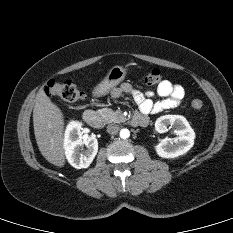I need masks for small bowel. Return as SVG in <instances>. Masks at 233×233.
I'll return each instance as SVG.
<instances>
[{
  "instance_id": "obj_1",
  "label": "small bowel",
  "mask_w": 233,
  "mask_h": 233,
  "mask_svg": "<svg viewBox=\"0 0 233 233\" xmlns=\"http://www.w3.org/2000/svg\"><path fill=\"white\" fill-rule=\"evenodd\" d=\"M122 93L131 94L138 105L139 113L133 118V123L138 125L135 120L142 118L149 120L150 114H156L163 110L173 109L181 104L184 99V88L179 84H173L168 80L162 81L156 89V92L147 91L145 93L135 89L129 83H123L120 88L113 90L112 95L119 97ZM157 95L161 100L153 101L152 97ZM145 123V124H146ZM144 124V125H145Z\"/></svg>"
}]
</instances>
